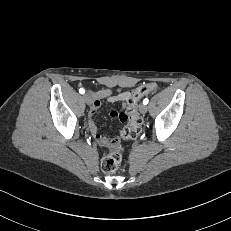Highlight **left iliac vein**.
<instances>
[{
	"instance_id": "1",
	"label": "left iliac vein",
	"mask_w": 231,
	"mask_h": 231,
	"mask_svg": "<svg viewBox=\"0 0 231 231\" xmlns=\"http://www.w3.org/2000/svg\"><path fill=\"white\" fill-rule=\"evenodd\" d=\"M139 110L142 114L146 113L148 110V107L145 104H141L139 107Z\"/></svg>"
}]
</instances>
